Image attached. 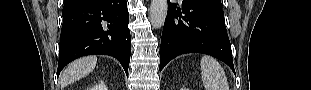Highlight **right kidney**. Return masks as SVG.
<instances>
[{
	"label": "right kidney",
	"mask_w": 311,
	"mask_h": 90,
	"mask_svg": "<svg viewBox=\"0 0 311 90\" xmlns=\"http://www.w3.org/2000/svg\"><path fill=\"white\" fill-rule=\"evenodd\" d=\"M90 90H107V87L105 86L104 82H100L96 84L95 86H92L89 88Z\"/></svg>",
	"instance_id": "right-kidney-1"
}]
</instances>
